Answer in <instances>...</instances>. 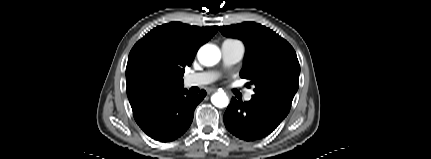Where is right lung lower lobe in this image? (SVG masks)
I'll use <instances>...</instances> for the list:
<instances>
[{"label":"right lung lower lobe","instance_id":"98d812e1","mask_svg":"<svg viewBox=\"0 0 431 159\" xmlns=\"http://www.w3.org/2000/svg\"><path fill=\"white\" fill-rule=\"evenodd\" d=\"M205 96L204 90L195 95L182 88L150 101L133 115L148 136L160 142H170L187 131L196 106Z\"/></svg>","mask_w":431,"mask_h":159}]
</instances>
